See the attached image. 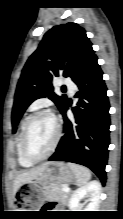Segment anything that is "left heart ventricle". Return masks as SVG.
Masks as SVG:
<instances>
[{
  "instance_id": "obj_1",
  "label": "left heart ventricle",
  "mask_w": 123,
  "mask_h": 219,
  "mask_svg": "<svg viewBox=\"0 0 123 219\" xmlns=\"http://www.w3.org/2000/svg\"><path fill=\"white\" fill-rule=\"evenodd\" d=\"M55 137V124L49 116H38L33 120L27 137V149L32 156L39 157L50 148Z\"/></svg>"
}]
</instances>
